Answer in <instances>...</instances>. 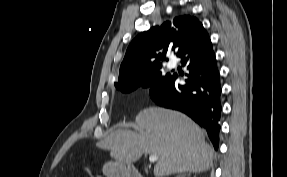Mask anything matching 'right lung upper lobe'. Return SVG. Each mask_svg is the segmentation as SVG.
Returning a JSON list of instances; mask_svg holds the SVG:
<instances>
[{"instance_id":"obj_1","label":"right lung upper lobe","mask_w":287,"mask_h":177,"mask_svg":"<svg viewBox=\"0 0 287 177\" xmlns=\"http://www.w3.org/2000/svg\"><path fill=\"white\" fill-rule=\"evenodd\" d=\"M204 30L202 23L189 15L176 17L137 35L127 48L115 86L138 81L167 60L169 50L178 56L184 45Z\"/></svg>"}]
</instances>
